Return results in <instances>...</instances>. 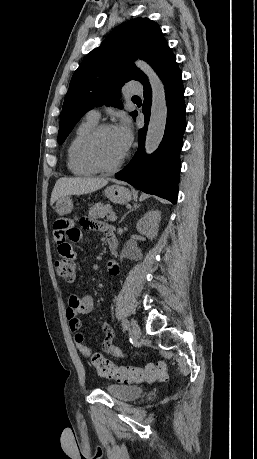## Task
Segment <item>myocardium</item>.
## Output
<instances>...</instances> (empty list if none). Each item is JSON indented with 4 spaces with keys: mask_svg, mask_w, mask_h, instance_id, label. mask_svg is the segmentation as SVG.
<instances>
[{
    "mask_svg": "<svg viewBox=\"0 0 257 459\" xmlns=\"http://www.w3.org/2000/svg\"><path fill=\"white\" fill-rule=\"evenodd\" d=\"M114 128L111 123L97 124L85 137L81 146V156L86 164L100 172H113L117 170L126 159L127 154L124 153L119 160L111 165L103 164L96 156L95 146L99 136L106 130Z\"/></svg>",
    "mask_w": 257,
    "mask_h": 459,
    "instance_id": "obj_1",
    "label": "myocardium"
}]
</instances>
